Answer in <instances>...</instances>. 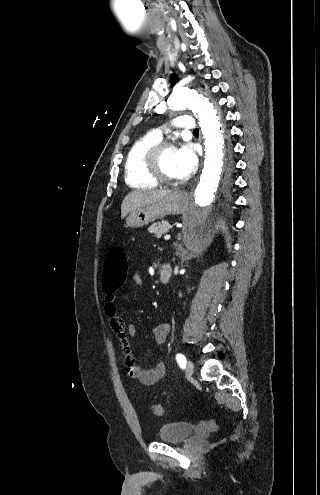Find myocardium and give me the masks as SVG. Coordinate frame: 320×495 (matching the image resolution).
Wrapping results in <instances>:
<instances>
[{
  "mask_svg": "<svg viewBox=\"0 0 320 495\" xmlns=\"http://www.w3.org/2000/svg\"><path fill=\"white\" fill-rule=\"evenodd\" d=\"M167 148H175V144L171 140H164L151 146L145 153L144 164L147 172L157 182L174 184L177 179L167 176L161 168V156Z\"/></svg>",
  "mask_w": 320,
  "mask_h": 495,
  "instance_id": "1",
  "label": "myocardium"
}]
</instances>
